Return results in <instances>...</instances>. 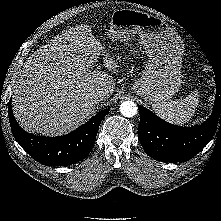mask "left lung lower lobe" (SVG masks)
<instances>
[{
  "mask_svg": "<svg viewBox=\"0 0 221 221\" xmlns=\"http://www.w3.org/2000/svg\"><path fill=\"white\" fill-rule=\"evenodd\" d=\"M138 109V138L146 154L163 162L188 161L210 142L216 129L221 128V84L216 82L213 112L201 126H176L141 105Z\"/></svg>",
  "mask_w": 221,
  "mask_h": 221,
  "instance_id": "0a47b994",
  "label": "left lung lower lobe"
}]
</instances>
